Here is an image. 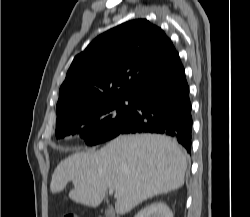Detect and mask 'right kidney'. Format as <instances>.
<instances>
[{"instance_id": "obj_1", "label": "right kidney", "mask_w": 250, "mask_h": 217, "mask_svg": "<svg viewBox=\"0 0 250 217\" xmlns=\"http://www.w3.org/2000/svg\"><path fill=\"white\" fill-rule=\"evenodd\" d=\"M135 217H173V213L165 203L156 202L140 210Z\"/></svg>"}]
</instances>
